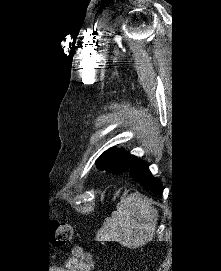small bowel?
Wrapping results in <instances>:
<instances>
[{"instance_id":"small-bowel-1","label":"small bowel","mask_w":221,"mask_h":271,"mask_svg":"<svg viewBox=\"0 0 221 271\" xmlns=\"http://www.w3.org/2000/svg\"><path fill=\"white\" fill-rule=\"evenodd\" d=\"M94 267L93 257L77 246L71 251V256L66 263L67 271H92Z\"/></svg>"}]
</instances>
